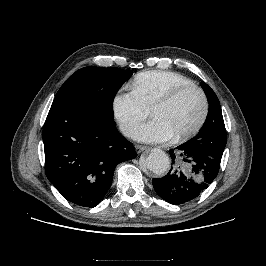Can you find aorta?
Returning <instances> with one entry per match:
<instances>
[{
  "label": "aorta",
  "instance_id": "aorta-1",
  "mask_svg": "<svg viewBox=\"0 0 266 266\" xmlns=\"http://www.w3.org/2000/svg\"><path fill=\"white\" fill-rule=\"evenodd\" d=\"M146 167L157 175L166 172L170 166L168 155L161 149H152L150 154L145 159Z\"/></svg>",
  "mask_w": 266,
  "mask_h": 266
}]
</instances>
